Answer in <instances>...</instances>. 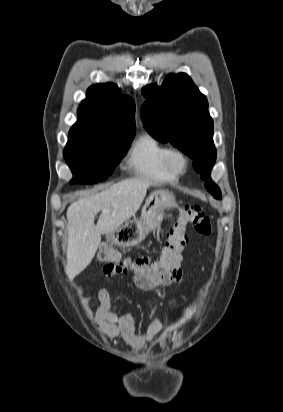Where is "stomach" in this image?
Here are the masks:
<instances>
[{
  "mask_svg": "<svg viewBox=\"0 0 283 412\" xmlns=\"http://www.w3.org/2000/svg\"><path fill=\"white\" fill-rule=\"evenodd\" d=\"M175 206V197L171 192L164 190L153 192L145 200L141 218L134 219L109 233L108 240L119 247H132L140 244L149 232L160 227L165 211Z\"/></svg>",
  "mask_w": 283,
  "mask_h": 412,
  "instance_id": "1",
  "label": "stomach"
}]
</instances>
